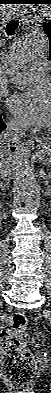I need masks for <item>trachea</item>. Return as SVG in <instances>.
<instances>
[{"label": "trachea", "mask_w": 51, "mask_h": 393, "mask_svg": "<svg viewBox=\"0 0 51 393\" xmlns=\"http://www.w3.org/2000/svg\"><path fill=\"white\" fill-rule=\"evenodd\" d=\"M19 21L18 20H11L6 26V33L8 36H13L15 31L18 27Z\"/></svg>", "instance_id": "1"}]
</instances>
